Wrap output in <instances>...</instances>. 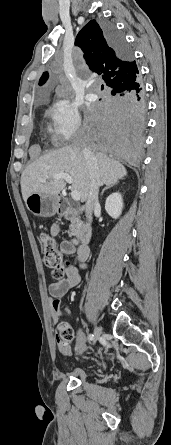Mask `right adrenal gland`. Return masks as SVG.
<instances>
[{
	"mask_svg": "<svg viewBox=\"0 0 171 445\" xmlns=\"http://www.w3.org/2000/svg\"><path fill=\"white\" fill-rule=\"evenodd\" d=\"M118 183H119V182H115V183H113V184H110V185L106 186V187L102 190V192H101V196H103L105 190H107V189H109V188H111V187L117 185Z\"/></svg>",
	"mask_w": 171,
	"mask_h": 445,
	"instance_id": "2a0ac1e0",
	"label": "right adrenal gland"
}]
</instances>
